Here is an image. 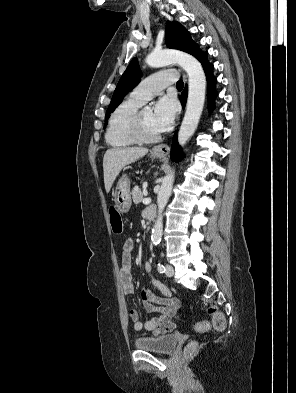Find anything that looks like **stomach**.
I'll return each mask as SVG.
<instances>
[{
	"instance_id": "stomach-1",
	"label": "stomach",
	"mask_w": 296,
	"mask_h": 393,
	"mask_svg": "<svg viewBox=\"0 0 296 393\" xmlns=\"http://www.w3.org/2000/svg\"><path fill=\"white\" fill-rule=\"evenodd\" d=\"M152 158H162L163 155L152 154ZM114 201L119 212L126 213L131 207L130 180L123 175L117 182L114 191Z\"/></svg>"
}]
</instances>
